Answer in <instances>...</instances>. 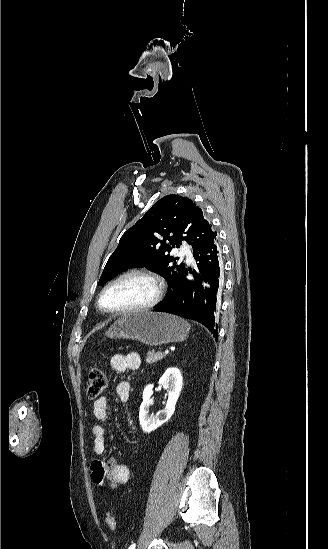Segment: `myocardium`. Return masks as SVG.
<instances>
[{
  "mask_svg": "<svg viewBox=\"0 0 328 549\" xmlns=\"http://www.w3.org/2000/svg\"><path fill=\"white\" fill-rule=\"evenodd\" d=\"M133 274L144 276L152 282L154 286L153 296L147 302L140 305L131 306L123 309L106 308L103 304V297L105 293L117 282ZM164 290H165L164 281L162 277L153 270V267L148 265H133L126 268L119 274H117L114 278H112L109 282H107L104 285V287L102 288L98 296V300H97L98 309L101 313L108 315L110 317H124V316H130L135 314L148 313L156 309L158 303L162 299Z\"/></svg>",
  "mask_w": 328,
  "mask_h": 549,
  "instance_id": "myocardium-1",
  "label": "myocardium"
}]
</instances>
